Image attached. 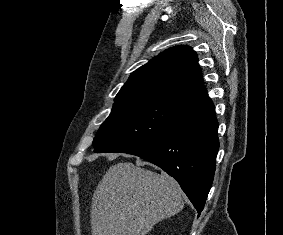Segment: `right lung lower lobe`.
Masks as SVG:
<instances>
[{"mask_svg":"<svg viewBox=\"0 0 283 235\" xmlns=\"http://www.w3.org/2000/svg\"><path fill=\"white\" fill-rule=\"evenodd\" d=\"M217 131L215 107L205 95L187 104L165 132L124 153L139 156L175 178L200 215L214 178Z\"/></svg>","mask_w":283,"mask_h":235,"instance_id":"obj_1","label":"right lung lower lobe"}]
</instances>
